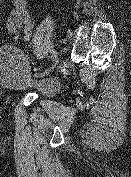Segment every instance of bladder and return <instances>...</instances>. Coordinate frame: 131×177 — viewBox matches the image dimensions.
I'll return each instance as SVG.
<instances>
[{
    "label": "bladder",
    "mask_w": 131,
    "mask_h": 177,
    "mask_svg": "<svg viewBox=\"0 0 131 177\" xmlns=\"http://www.w3.org/2000/svg\"><path fill=\"white\" fill-rule=\"evenodd\" d=\"M0 80L9 93H32L52 97L60 89L59 80L52 76H32L28 61L16 47L0 49Z\"/></svg>",
    "instance_id": "bladder-1"
}]
</instances>
